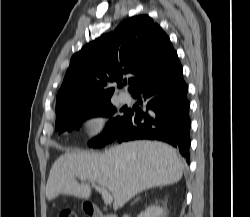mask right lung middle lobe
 Returning a JSON list of instances; mask_svg holds the SVG:
<instances>
[{"label": "right lung middle lobe", "instance_id": "obj_1", "mask_svg": "<svg viewBox=\"0 0 250 217\" xmlns=\"http://www.w3.org/2000/svg\"><path fill=\"white\" fill-rule=\"evenodd\" d=\"M116 109L112 106L110 101L95 104L93 106L72 111L56 120L55 128L59 133L71 132L74 129H79L82 122L94 116L110 117L115 113ZM124 111V116H117L109 121L108 126L103 134L89 143L92 147H101L116 139L120 133L123 125L129 117V110Z\"/></svg>", "mask_w": 250, "mask_h": 217}]
</instances>
